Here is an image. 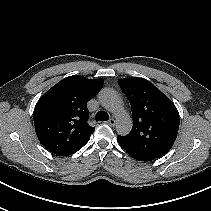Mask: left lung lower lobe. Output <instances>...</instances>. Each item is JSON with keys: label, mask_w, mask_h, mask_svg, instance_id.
Returning <instances> with one entry per match:
<instances>
[{"label": "left lung lower lobe", "mask_w": 211, "mask_h": 211, "mask_svg": "<svg viewBox=\"0 0 211 211\" xmlns=\"http://www.w3.org/2000/svg\"><path fill=\"white\" fill-rule=\"evenodd\" d=\"M117 140H118L119 144H121V139H120L119 136L117 137ZM129 155L131 157H133L134 159L139 160V161H152L153 160L149 157H143V156H140V155H135V154H129Z\"/></svg>", "instance_id": "0a47b994"}]
</instances>
